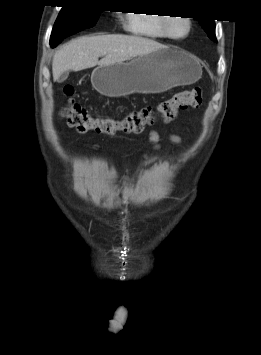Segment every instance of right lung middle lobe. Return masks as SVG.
<instances>
[{
	"label": "right lung middle lobe",
	"mask_w": 261,
	"mask_h": 355,
	"mask_svg": "<svg viewBox=\"0 0 261 355\" xmlns=\"http://www.w3.org/2000/svg\"><path fill=\"white\" fill-rule=\"evenodd\" d=\"M102 10L87 2H72L62 8L54 24L50 43L61 41L74 33L93 27Z\"/></svg>",
	"instance_id": "dd1d6c3e"
}]
</instances>
